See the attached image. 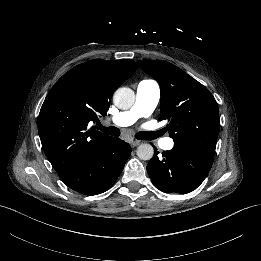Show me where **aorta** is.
Returning <instances> with one entry per match:
<instances>
[{
	"mask_svg": "<svg viewBox=\"0 0 261 261\" xmlns=\"http://www.w3.org/2000/svg\"><path fill=\"white\" fill-rule=\"evenodd\" d=\"M135 102V93L131 88H118L113 95L114 105L122 110H127ZM154 155V149L150 144H141L137 148V156L141 160H150Z\"/></svg>",
	"mask_w": 261,
	"mask_h": 261,
	"instance_id": "obj_1",
	"label": "aorta"
}]
</instances>
